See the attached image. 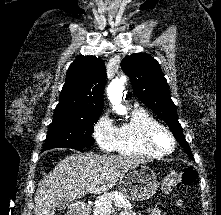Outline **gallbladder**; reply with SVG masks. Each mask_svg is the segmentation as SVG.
<instances>
[{"label":"gallbladder","instance_id":"bac80fb5","mask_svg":"<svg viewBox=\"0 0 221 215\" xmlns=\"http://www.w3.org/2000/svg\"><path fill=\"white\" fill-rule=\"evenodd\" d=\"M68 204H69V201H68V200H60V201L58 202V205H57V207H56V210H57V211L65 210V209L67 208Z\"/></svg>","mask_w":221,"mask_h":215}]
</instances>
